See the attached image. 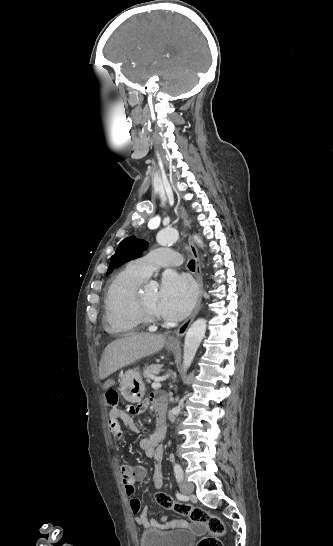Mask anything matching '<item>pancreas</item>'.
I'll return each instance as SVG.
<instances>
[{
  "instance_id": "1",
  "label": "pancreas",
  "mask_w": 333,
  "mask_h": 546,
  "mask_svg": "<svg viewBox=\"0 0 333 546\" xmlns=\"http://www.w3.org/2000/svg\"><path fill=\"white\" fill-rule=\"evenodd\" d=\"M161 368L162 365L160 364L147 366L143 372V375L147 380H150L152 376L158 375L162 371Z\"/></svg>"
}]
</instances>
